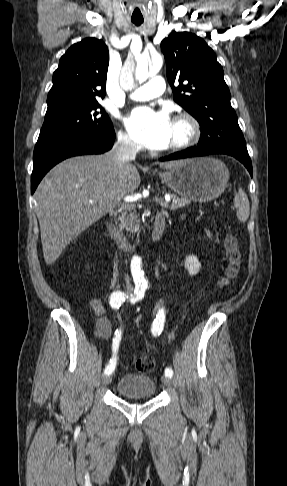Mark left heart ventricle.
Listing matches in <instances>:
<instances>
[{"label": "left heart ventricle", "mask_w": 287, "mask_h": 486, "mask_svg": "<svg viewBox=\"0 0 287 486\" xmlns=\"http://www.w3.org/2000/svg\"><path fill=\"white\" fill-rule=\"evenodd\" d=\"M186 127L177 122H172L170 144L182 140L186 136ZM169 144V145H170Z\"/></svg>", "instance_id": "obj_1"}]
</instances>
